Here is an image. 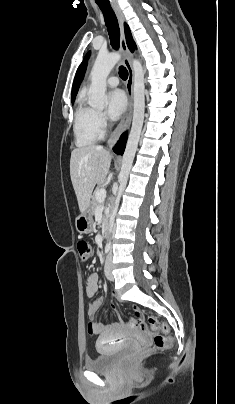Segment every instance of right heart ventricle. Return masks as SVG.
Masks as SVG:
<instances>
[{
    "label": "right heart ventricle",
    "instance_id": "obj_1",
    "mask_svg": "<svg viewBox=\"0 0 235 404\" xmlns=\"http://www.w3.org/2000/svg\"><path fill=\"white\" fill-rule=\"evenodd\" d=\"M73 133L76 145L85 147L94 144L102 135L96 120V110L81 97L74 113Z\"/></svg>",
    "mask_w": 235,
    "mask_h": 404
}]
</instances>
